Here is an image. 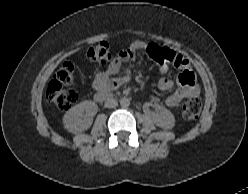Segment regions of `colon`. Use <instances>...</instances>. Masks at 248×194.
Listing matches in <instances>:
<instances>
[{"mask_svg":"<svg viewBox=\"0 0 248 194\" xmlns=\"http://www.w3.org/2000/svg\"><path fill=\"white\" fill-rule=\"evenodd\" d=\"M148 52L151 58L159 65L174 61L175 54L168 48L150 45ZM88 57L91 61L106 66L112 62L108 45L100 42L88 49ZM75 66L72 62L66 61L61 64L54 78L47 86L46 96L48 101L60 110H66L77 100V93L74 89L67 87L74 79ZM202 104L198 97L190 98L182 108L183 116L192 120L199 116Z\"/></svg>","mask_w":248,"mask_h":194,"instance_id":"colon-1","label":"colon"}]
</instances>
